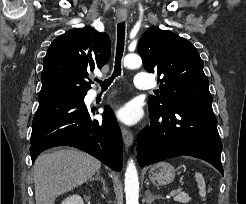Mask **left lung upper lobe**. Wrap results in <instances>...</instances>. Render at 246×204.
I'll return each mask as SVG.
<instances>
[{
    "instance_id": "1",
    "label": "left lung upper lobe",
    "mask_w": 246,
    "mask_h": 204,
    "mask_svg": "<svg viewBox=\"0 0 246 204\" xmlns=\"http://www.w3.org/2000/svg\"><path fill=\"white\" fill-rule=\"evenodd\" d=\"M137 51L146 71L161 76L160 91L148 99L150 112L158 113L177 101H212L203 61L191 42L151 28L142 35Z\"/></svg>"
}]
</instances>
